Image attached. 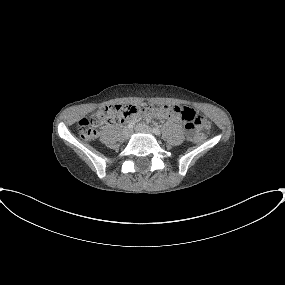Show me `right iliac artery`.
Returning a JSON list of instances; mask_svg holds the SVG:
<instances>
[{"instance_id":"1","label":"right iliac artery","mask_w":285,"mask_h":285,"mask_svg":"<svg viewBox=\"0 0 285 285\" xmlns=\"http://www.w3.org/2000/svg\"><path fill=\"white\" fill-rule=\"evenodd\" d=\"M134 125H135L134 122H130V123L127 125V127H128L129 129H132V128L134 127Z\"/></svg>"}]
</instances>
